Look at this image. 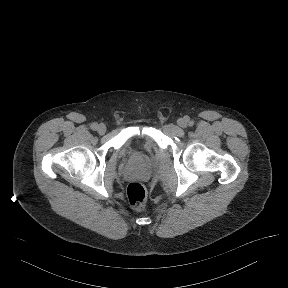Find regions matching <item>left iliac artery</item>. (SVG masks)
<instances>
[{"label":"left iliac artery","instance_id":"44dca946","mask_svg":"<svg viewBox=\"0 0 288 288\" xmlns=\"http://www.w3.org/2000/svg\"><path fill=\"white\" fill-rule=\"evenodd\" d=\"M194 122L193 121H189V125L193 126Z\"/></svg>","mask_w":288,"mask_h":288}]
</instances>
